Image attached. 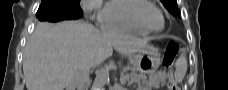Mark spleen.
Segmentation results:
<instances>
[{
	"label": "spleen",
	"instance_id": "3e777b00",
	"mask_svg": "<svg viewBox=\"0 0 228 90\" xmlns=\"http://www.w3.org/2000/svg\"><path fill=\"white\" fill-rule=\"evenodd\" d=\"M176 70H175V80L176 82H182L184 79V76L187 72V59L185 55H181L177 61H176Z\"/></svg>",
	"mask_w": 228,
	"mask_h": 90
}]
</instances>
